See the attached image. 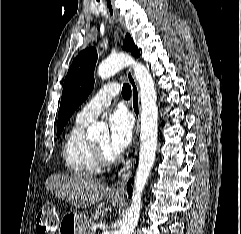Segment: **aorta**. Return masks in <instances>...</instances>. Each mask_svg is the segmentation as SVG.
<instances>
[{
	"label": "aorta",
	"mask_w": 241,
	"mask_h": 234,
	"mask_svg": "<svg viewBox=\"0 0 241 234\" xmlns=\"http://www.w3.org/2000/svg\"><path fill=\"white\" fill-rule=\"evenodd\" d=\"M131 65L140 87L141 98V131L139 162L135 176V188L131 204L126 211L123 224L116 234H133L140 217L142 193L153 167L157 147L158 108L154 81L148 69L127 54H117L108 57L98 67V76L107 79L122 68ZM107 130L102 122H95L88 127L90 136H99Z\"/></svg>",
	"instance_id": "762f6f07"
}]
</instances>
